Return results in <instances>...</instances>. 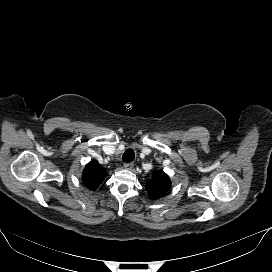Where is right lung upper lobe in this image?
<instances>
[{"label":"right lung upper lobe","instance_id":"cb5924a9","mask_svg":"<svg viewBox=\"0 0 272 272\" xmlns=\"http://www.w3.org/2000/svg\"><path fill=\"white\" fill-rule=\"evenodd\" d=\"M106 171L96 161L89 162L82 174L84 184L91 190L97 188L106 176Z\"/></svg>","mask_w":272,"mask_h":272}]
</instances>
